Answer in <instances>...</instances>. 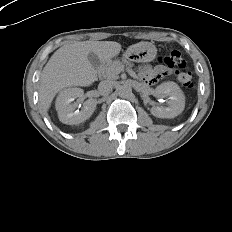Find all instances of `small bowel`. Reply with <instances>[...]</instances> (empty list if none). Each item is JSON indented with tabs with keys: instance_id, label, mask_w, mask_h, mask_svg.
Instances as JSON below:
<instances>
[{
	"instance_id": "c3829d8e",
	"label": "small bowel",
	"mask_w": 232,
	"mask_h": 232,
	"mask_svg": "<svg viewBox=\"0 0 232 232\" xmlns=\"http://www.w3.org/2000/svg\"><path fill=\"white\" fill-rule=\"evenodd\" d=\"M140 72L149 83H157L170 75V70L167 67H160L155 72L150 66H143Z\"/></svg>"
}]
</instances>
